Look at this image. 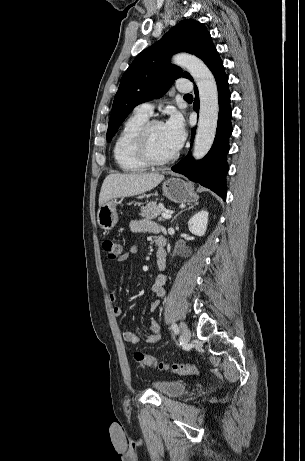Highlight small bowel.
I'll return each instance as SVG.
<instances>
[{"label":"small bowel","instance_id":"1","mask_svg":"<svg viewBox=\"0 0 305 461\" xmlns=\"http://www.w3.org/2000/svg\"><path fill=\"white\" fill-rule=\"evenodd\" d=\"M131 229L134 232H139V233H145V232H150L155 235L159 233V227L154 224L153 222L142 219V220H135L131 223ZM138 253V248L136 246H130L128 250L119 258H117V261L119 263H123L127 261L130 257L135 256ZM157 266L159 270L163 271L166 267V253L163 250H160L159 248L157 249ZM167 278L165 274H159L152 287H151V293L154 296L157 297H162L164 295V286L166 284ZM116 288H114L110 294V299L112 303H114L113 306V313L117 317H121L124 314L123 309L116 305ZM160 302L159 301H153L150 304V313H151V325L148 329V335L145 339L146 343H156L160 340L161 335H160V325L158 323V320L155 316V312L159 309ZM123 339L125 342L130 343V344H137L139 342V336L134 333L133 331L126 330L123 332Z\"/></svg>","mask_w":305,"mask_h":461}]
</instances>
